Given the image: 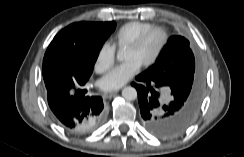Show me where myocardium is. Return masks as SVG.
<instances>
[{"mask_svg": "<svg viewBox=\"0 0 244 157\" xmlns=\"http://www.w3.org/2000/svg\"><path fill=\"white\" fill-rule=\"evenodd\" d=\"M160 33L162 35V42L161 45L159 46L157 52L154 54V56L149 59L147 62H145L142 67L143 68H149L156 64L161 56L163 55L169 41H170V33L166 28L163 27H153L151 29H148L144 32H142L135 40H133L127 47L126 49H137L139 48L145 40L153 33Z\"/></svg>", "mask_w": 244, "mask_h": 157, "instance_id": "1", "label": "myocardium"}]
</instances>
